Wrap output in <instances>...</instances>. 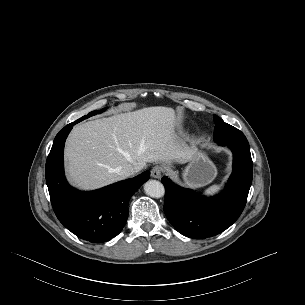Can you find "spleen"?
<instances>
[{"label": "spleen", "mask_w": 305, "mask_h": 305, "mask_svg": "<svg viewBox=\"0 0 305 305\" xmlns=\"http://www.w3.org/2000/svg\"><path fill=\"white\" fill-rule=\"evenodd\" d=\"M221 189V185H212L204 192L205 195H215Z\"/></svg>", "instance_id": "1"}]
</instances>
